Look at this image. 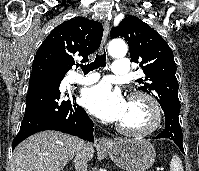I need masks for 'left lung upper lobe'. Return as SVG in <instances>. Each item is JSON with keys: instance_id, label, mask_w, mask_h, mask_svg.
<instances>
[{"instance_id": "1", "label": "left lung upper lobe", "mask_w": 199, "mask_h": 171, "mask_svg": "<svg viewBox=\"0 0 199 171\" xmlns=\"http://www.w3.org/2000/svg\"><path fill=\"white\" fill-rule=\"evenodd\" d=\"M110 34L112 38L125 39L131 61L140 63L145 77L136 80L138 88L156 97L163 111L180 113L179 85L175 76L177 68L166 41L135 16H126Z\"/></svg>"}]
</instances>
